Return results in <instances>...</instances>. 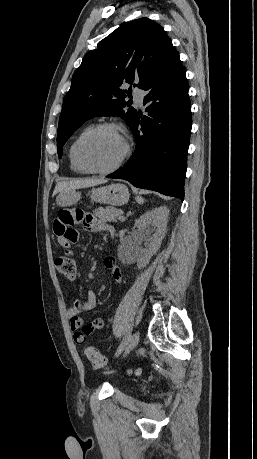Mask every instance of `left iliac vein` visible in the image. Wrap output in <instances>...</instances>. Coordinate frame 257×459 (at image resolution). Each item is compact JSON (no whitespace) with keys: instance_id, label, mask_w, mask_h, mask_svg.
Instances as JSON below:
<instances>
[{"instance_id":"4c4485c4","label":"left iliac vein","mask_w":257,"mask_h":459,"mask_svg":"<svg viewBox=\"0 0 257 459\" xmlns=\"http://www.w3.org/2000/svg\"><path fill=\"white\" fill-rule=\"evenodd\" d=\"M138 343H139V334L136 332L127 341L124 355H127L131 350H133L137 346Z\"/></svg>"}]
</instances>
